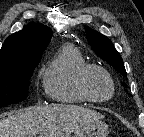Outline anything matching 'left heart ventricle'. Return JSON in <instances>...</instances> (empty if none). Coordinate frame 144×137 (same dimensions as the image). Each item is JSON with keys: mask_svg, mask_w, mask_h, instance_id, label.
I'll use <instances>...</instances> for the list:
<instances>
[{"mask_svg": "<svg viewBox=\"0 0 144 137\" xmlns=\"http://www.w3.org/2000/svg\"><path fill=\"white\" fill-rule=\"evenodd\" d=\"M91 93L99 98L107 97L111 93V85L107 78L99 72H92L88 79Z\"/></svg>", "mask_w": 144, "mask_h": 137, "instance_id": "left-heart-ventricle-1", "label": "left heart ventricle"}]
</instances>
